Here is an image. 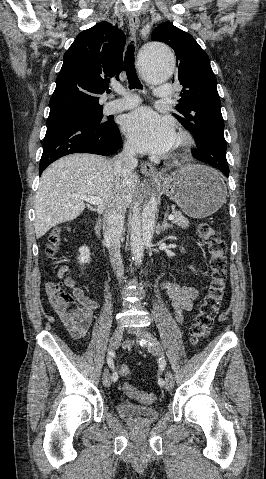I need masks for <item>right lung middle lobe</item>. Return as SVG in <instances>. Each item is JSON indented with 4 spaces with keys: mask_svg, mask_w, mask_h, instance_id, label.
I'll return each instance as SVG.
<instances>
[{
    "mask_svg": "<svg viewBox=\"0 0 266 479\" xmlns=\"http://www.w3.org/2000/svg\"><path fill=\"white\" fill-rule=\"evenodd\" d=\"M59 115V116H69L79 118L96 125L106 124V122H102L103 112L102 107L98 108H75L64 110L56 113L49 114V116Z\"/></svg>",
    "mask_w": 266,
    "mask_h": 479,
    "instance_id": "1",
    "label": "right lung middle lobe"
}]
</instances>
